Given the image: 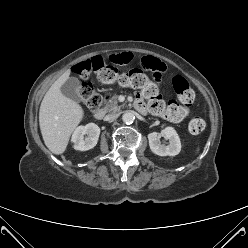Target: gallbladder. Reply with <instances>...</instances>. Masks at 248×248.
I'll return each instance as SVG.
<instances>
[{
	"label": "gallbladder",
	"mask_w": 248,
	"mask_h": 248,
	"mask_svg": "<svg viewBox=\"0 0 248 248\" xmlns=\"http://www.w3.org/2000/svg\"><path fill=\"white\" fill-rule=\"evenodd\" d=\"M78 90H79V80L76 77H70L60 87V91L62 92V94L74 101L80 100V97L78 95Z\"/></svg>",
	"instance_id": "obj_1"
}]
</instances>
